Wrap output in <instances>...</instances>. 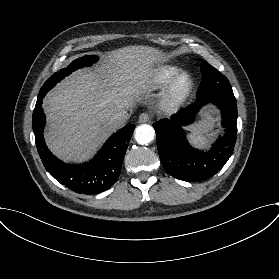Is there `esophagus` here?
Instances as JSON below:
<instances>
[{"label":"esophagus","mask_w":279,"mask_h":279,"mask_svg":"<svg viewBox=\"0 0 279 279\" xmlns=\"http://www.w3.org/2000/svg\"><path fill=\"white\" fill-rule=\"evenodd\" d=\"M150 115L148 113H142L140 116H139V119L138 121L140 123H145V122H148L150 120Z\"/></svg>","instance_id":"obj_1"}]
</instances>
